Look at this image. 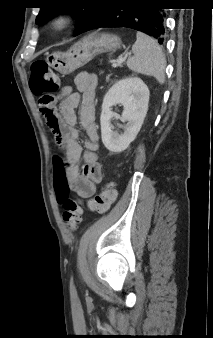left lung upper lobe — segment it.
Listing matches in <instances>:
<instances>
[{
  "label": "left lung upper lobe",
  "mask_w": 213,
  "mask_h": 338,
  "mask_svg": "<svg viewBox=\"0 0 213 338\" xmlns=\"http://www.w3.org/2000/svg\"><path fill=\"white\" fill-rule=\"evenodd\" d=\"M66 2L70 7L58 6L59 2ZM43 0L40 12L36 18V23L44 24L60 13H72L77 20L75 35H78L85 28L87 23L94 17L100 9L104 0Z\"/></svg>",
  "instance_id": "obj_1"
}]
</instances>
